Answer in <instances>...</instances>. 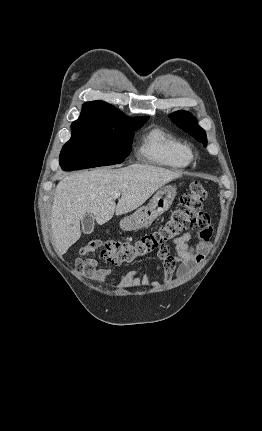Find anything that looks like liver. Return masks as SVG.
I'll return each mask as SVG.
<instances>
[{
    "mask_svg": "<svg viewBox=\"0 0 262 431\" xmlns=\"http://www.w3.org/2000/svg\"><path fill=\"white\" fill-rule=\"evenodd\" d=\"M182 173L165 168L133 164L120 169H95L65 176L57 185L51 212L54 248L59 256L81 237L80 220L93 214L99 225L114 215L131 212L152 194L181 177ZM120 192L117 205L112 198Z\"/></svg>",
    "mask_w": 262,
    "mask_h": 431,
    "instance_id": "1",
    "label": "liver"
}]
</instances>
